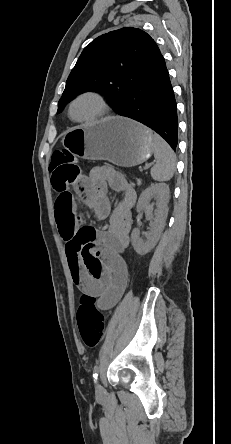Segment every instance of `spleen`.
I'll return each mask as SVG.
<instances>
[{"instance_id":"1","label":"spleen","mask_w":231,"mask_h":444,"mask_svg":"<svg viewBox=\"0 0 231 444\" xmlns=\"http://www.w3.org/2000/svg\"><path fill=\"white\" fill-rule=\"evenodd\" d=\"M153 140L156 164L151 168V176L156 181H168L176 170V155L159 135H153Z\"/></svg>"}]
</instances>
